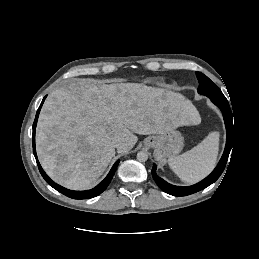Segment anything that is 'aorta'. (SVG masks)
Returning a JSON list of instances; mask_svg holds the SVG:
<instances>
[{
  "instance_id": "1",
  "label": "aorta",
  "mask_w": 259,
  "mask_h": 259,
  "mask_svg": "<svg viewBox=\"0 0 259 259\" xmlns=\"http://www.w3.org/2000/svg\"><path fill=\"white\" fill-rule=\"evenodd\" d=\"M148 159V153L145 151H140L137 153V160L140 162H145Z\"/></svg>"
}]
</instances>
